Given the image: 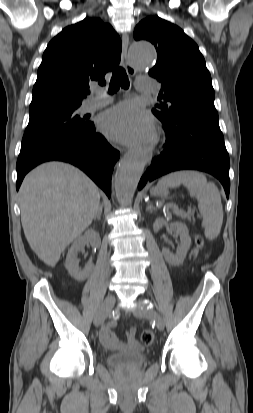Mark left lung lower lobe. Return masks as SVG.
Wrapping results in <instances>:
<instances>
[{"instance_id":"obj_1","label":"left lung lower lobe","mask_w":253,"mask_h":413,"mask_svg":"<svg viewBox=\"0 0 253 413\" xmlns=\"http://www.w3.org/2000/svg\"><path fill=\"white\" fill-rule=\"evenodd\" d=\"M166 147L140 179L138 189L167 173L193 169L220 180L229 197V155L218 120L191 116L164 125Z\"/></svg>"}]
</instances>
